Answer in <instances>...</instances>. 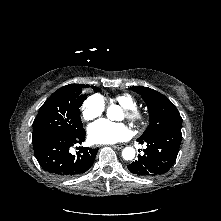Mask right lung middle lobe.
I'll list each match as a JSON object with an SVG mask.
<instances>
[{"label":"right lung middle lobe","instance_id":"right-lung-middle-lobe-1","mask_svg":"<svg viewBox=\"0 0 221 221\" xmlns=\"http://www.w3.org/2000/svg\"><path fill=\"white\" fill-rule=\"evenodd\" d=\"M89 86L69 84L55 91L41 106L33 122V143L53 135L74 136L83 132L80 110ZM99 92L98 87H93Z\"/></svg>","mask_w":221,"mask_h":221}]
</instances>
